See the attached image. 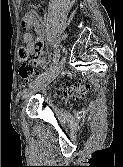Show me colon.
I'll return each instance as SVG.
<instances>
[{
  "label": "colon",
  "mask_w": 123,
  "mask_h": 167,
  "mask_svg": "<svg viewBox=\"0 0 123 167\" xmlns=\"http://www.w3.org/2000/svg\"><path fill=\"white\" fill-rule=\"evenodd\" d=\"M29 54V50L26 47H20L18 49V58L23 63L19 70V74L21 79L25 82L30 81L35 76L33 68L27 64ZM88 89L89 85L86 83L73 84L64 88V95L73 99H80L86 95Z\"/></svg>",
  "instance_id": "colon-1"
}]
</instances>
